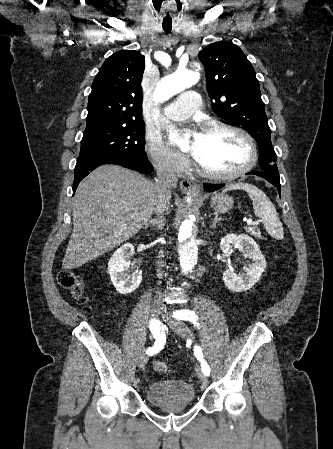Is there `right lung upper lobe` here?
<instances>
[{
  "label": "right lung upper lobe",
  "instance_id": "1",
  "mask_svg": "<svg viewBox=\"0 0 333 449\" xmlns=\"http://www.w3.org/2000/svg\"><path fill=\"white\" fill-rule=\"evenodd\" d=\"M143 71L144 56L138 51L122 50L107 58L92 84L86 127L142 121Z\"/></svg>",
  "mask_w": 333,
  "mask_h": 449
}]
</instances>
